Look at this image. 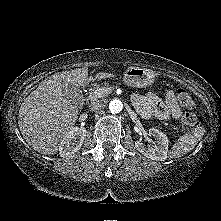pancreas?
Masks as SVG:
<instances>
[{
	"mask_svg": "<svg viewBox=\"0 0 221 221\" xmlns=\"http://www.w3.org/2000/svg\"><path fill=\"white\" fill-rule=\"evenodd\" d=\"M108 86V85H107ZM103 88V87H102ZM105 88H107V87H105ZM110 88H112V87H110ZM97 89H99V85H97V86H95V87H93L92 88V90H91V92L89 93V98H91V100H96L98 97H94V92L97 90ZM106 95H108V94H106ZM106 95H104V96H106ZM104 96H102V97H104Z\"/></svg>",
	"mask_w": 221,
	"mask_h": 221,
	"instance_id": "obj_1",
	"label": "pancreas"
}]
</instances>
